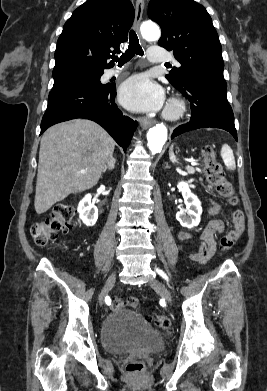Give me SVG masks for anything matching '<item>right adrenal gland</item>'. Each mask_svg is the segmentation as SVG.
<instances>
[{
    "label": "right adrenal gland",
    "instance_id": "obj_1",
    "mask_svg": "<svg viewBox=\"0 0 267 391\" xmlns=\"http://www.w3.org/2000/svg\"><path fill=\"white\" fill-rule=\"evenodd\" d=\"M116 159L114 157H111L107 165L103 169V173L106 172V170H113L115 167Z\"/></svg>",
    "mask_w": 267,
    "mask_h": 391
}]
</instances>
